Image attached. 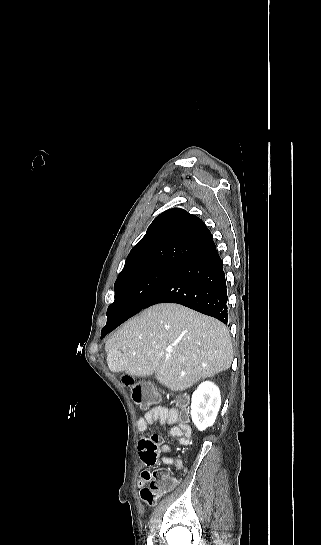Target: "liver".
Masks as SVG:
<instances>
[{"label": "liver", "mask_w": 321, "mask_h": 545, "mask_svg": "<svg viewBox=\"0 0 321 545\" xmlns=\"http://www.w3.org/2000/svg\"><path fill=\"white\" fill-rule=\"evenodd\" d=\"M105 351L112 373H155L170 391H186L226 371L234 357L228 327L175 303L153 305L124 323L106 341Z\"/></svg>", "instance_id": "1"}]
</instances>
